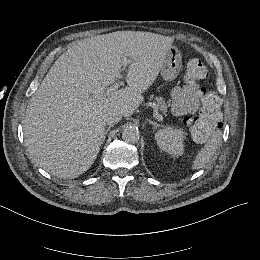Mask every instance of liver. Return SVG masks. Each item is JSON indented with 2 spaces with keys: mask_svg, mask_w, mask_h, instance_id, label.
<instances>
[{
  "mask_svg": "<svg viewBox=\"0 0 260 260\" xmlns=\"http://www.w3.org/2000/svg\"><path fill=\"white\" fill-rule=\"evenodd\" d=\"M174 38L119 31L86 38L64 52L32 95L22 121L30 161L60 179H74L94 164L111 111L132 116L166 63ZM131 64L127 86L106 89ZM100 132H96L98 124Z\"/></svg>",
  "mask_w": 260,
  "mask_h": 260,
  "instance_id": "1",
  "label": "liver"
}]
</instances>
